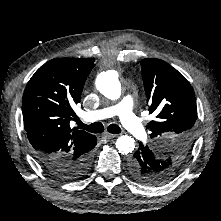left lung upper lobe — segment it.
<instances>
[{"label":"left lung upper lobe","mask_w":221,"mask_h":221,"mask_svg":"<svg viewBox=\"0 0 221 221\" xmlns=\"http://www.w3.org/2000/svg\"><path fill=\"white\" fill-rule=\"evenodd\" d=\"M141 73L148 110L156 120L147 128L159 147L161 169L155 174L159 184L172 179L186 160L195 138L197 107L194 91L184 76L159 59H143Z\"/></svg>","instance_id":"left-lung-upper-lobe-1"}]
</instances>
